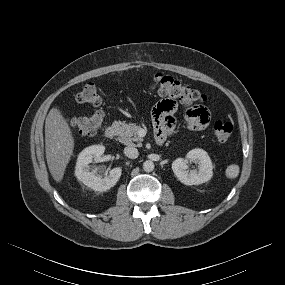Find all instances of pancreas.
<instances>
[{"label":"pancreas","instance_id":"1","mask_svg":"<svg viewBox=\"0 0 285 285\" xmlns=\"http://www.w3.org/2000/svg\"><path fill=\"white\" fill-rule=\"evenodd\" d=\"M114 126L118 127L119 141L125 145L142 146V139L137 136V131L140 128L134 123H124L116 121L113 123Z\"/></svg>","mask_w":285,"mask_h":285}]
</instances>
